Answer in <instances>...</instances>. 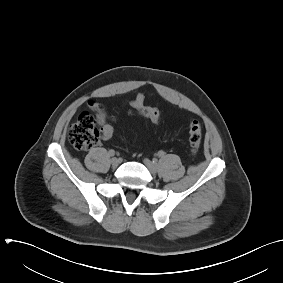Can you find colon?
<instances>
[{
	"label": "colon",
	"mask_w": 283,
	"mask_h": 283,
	"mask_svg": "<svg viewBox=\"0 0 283 283\" xmlns=\"http://www.w3.org/2000/svg\"><path fill=\"white\" fill-rule=\"evenodd\" d=\"M138 113L159 123L160 113L157 109L147 106L137 108ZM114 135L112 123L106 122L101 128H97L94 117L89 112H82L77 120L69 127L68 138L71 145L78 150H87L94 147L100 137L109 140ZM202 142V128L198 121L191 122L189 126V143L192 155H196Z\"/></svg>",
	"instance_id": "obj_1"
}]
</instances>
